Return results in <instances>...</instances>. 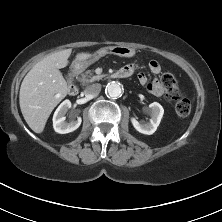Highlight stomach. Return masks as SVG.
Wrapping results in <instances>:
<instances>
[{"label": "stomach", "instance_id": "stomach-1", "mask_svg": "<svg viewBox=\"0 0 222 222\" xmlns=\"http://www.w3.org/2000/svg\"><path fill=\"white\" fill-rule=\"evenodd\" d=\"M115 54L120 57H132L135 55V49L128 47V46H114V47H107L101 50L100 56H103L105 54ZM97 57L94 59L88 58V59H79L76 58L72 62V68L75 70H84L86 69L89 65H91Z\"/></svg>", "mask_w": 222, "mask_h": 222}]
</instances>
